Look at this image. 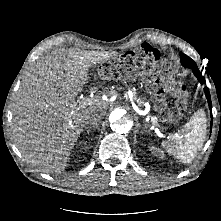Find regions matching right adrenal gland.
Instances as JSON below:
<instances>
[{
  "mask_svg": "<svg viewBox=\"0 0 221 221\" xmlns=\"http://www.w3.org/2000/svg\"><path fill=\"white\" fill-rule=\"evenodd\" d=\"M97 128V126H88V127H86V131L89 133L92 129H96Z\"/></svg>",
  "mask_w": 221,
  "mask_h": 221,
  "instance_id": "2a0ac1e0",
  "label": "right adrenal gland"
}]
</instances>
